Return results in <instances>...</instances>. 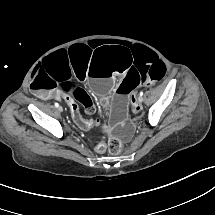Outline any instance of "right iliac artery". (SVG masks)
<instances>
[{"mask_svg":"<svg viewBox=\"0 0 215 215\" xmlns=\"http://www.w3.org/2000/svg\"><path fill=\"white\" fill-rule=\"evenodd\" d=\"M55 106H56V107H59V104H58V103H55Z\"/></svg>","mask_w":215,"mask_h":215,"instance_id":"1","label":"right iliac artery"}]
</instances>
